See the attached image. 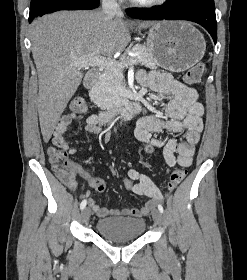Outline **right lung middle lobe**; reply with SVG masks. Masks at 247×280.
<instances>
[{"instance_id":"dd1d6c3e","label":"right lung middle lobe","mask_w":247,"mask_h":280,"mask_svg":"<svg viewBox=\"0 0 247 280\" xmlns=\"http://www.w3.org/2000/svg\"><path fill=\"white\" fill-rule=\"evenodd\" d=\"M50 0H31L30 13L36 12L43 4Z\"/></svg>"}]
</instances>
